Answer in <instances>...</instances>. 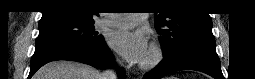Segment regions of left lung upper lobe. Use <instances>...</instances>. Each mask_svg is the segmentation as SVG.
<instances>
[{
    "mask_svg": "<svg viewBox=\"0 0 255 79\" xmlns=\"http://www.w3.org/2000/svg\"><path fill=\"white\" fill-rule=\"evenodd\" d=\"M155 2L159 12L154 24L160 34L164 57L174 54L189 42L215 40L209 14L200 11L180 12L176 8L165 7L172 4L168 0Z\"/></svg>",
    "mask_w": 255,
    "mask_h": 79,
    "instance_id": "1",
    "label": "left lung upper lobe"
}]
</instances>
